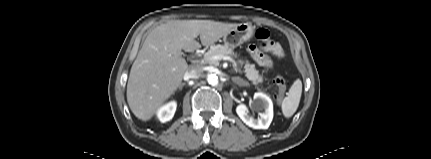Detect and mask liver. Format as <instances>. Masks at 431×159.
<instances>
[{"label":"liver","mask_w":431,"mask_h":159,"mask_svg":"<svg viewBox=\"0 0 431 159\" xmlns=\"http://www.w3.org/2000/svg\"><path fill=\"white\" fill-rule=\"evenodd\" d=\"M236 23L212 20H171L154 28L146 37L131 67L127 102L140 120H150L180 87L190 69L182 50L193 52L210 46L236 27Z\"/></svg>","instance_id":"1"}]
</instances>
